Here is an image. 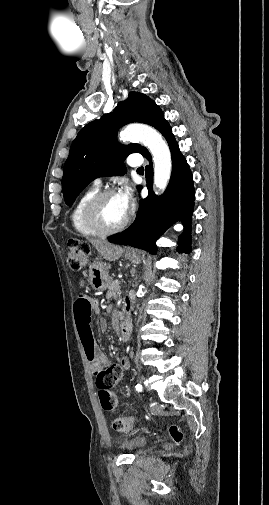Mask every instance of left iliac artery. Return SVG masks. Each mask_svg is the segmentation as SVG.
<instances>
[{
    "label": "left iliac artery",
    "mask_w": 269,
    "mask_h": 505,
    "mask_svg": "<svg viewBox=\"0 0 269 505\" xmlns=\"http://www.w3.org/2000/svg\"><path fill=\"white\" fill-rule=\"evenodd\" d=\"M135 388H136V391L139 392V393L142 392V390H143L142 385H140V384H137L135 386Z\"/></svg>",
    "instance_id": "44dca946"
}]
</instances>
